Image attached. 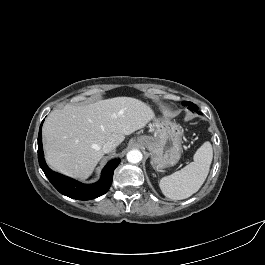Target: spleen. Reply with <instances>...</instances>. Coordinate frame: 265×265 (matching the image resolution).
<instances>
[{
  "mask_svg": "<svg viewBox=\"0 0 265 265\" xmlns=\"http://www.w3.org/2000/svg\"><path fill=\"white\" fill-rule=\"evenodd\" d=\"M212 158V146L207 141L196 151L193 162L160 180L162 193L173 200L185 199L196 193L207 178Z\"/></svg>",
  "mask_w": 265,
  "mask_h": 265,
  "instance_id": "spleen-1",
  "label": "spleen"
}]
</instances>
